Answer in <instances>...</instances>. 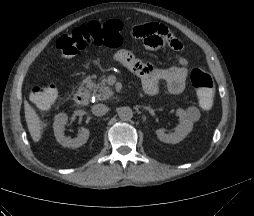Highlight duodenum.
<instances>
[{"label": "duodenum", "mask_w": 254, "mask_h": 216, "mask_svg": "<svg viewBox=\"0 0 254 216\" xmlns=\"http://www.w3.org/2000/svg\"><path fill=\"white\" fill-rule=\"evenodd\" d=\"M74 100L78 105L84 106L87 105L89 102V95L87 92L81 90L76 92Z\"/></svg>", "instance_id": "obj_1"}]
</instances>
